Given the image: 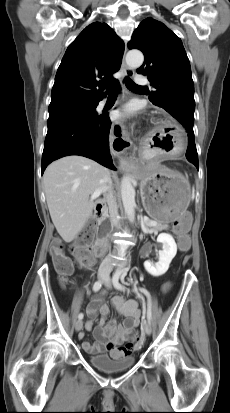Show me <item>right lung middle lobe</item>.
Instances as JSON below:
<instances>
[{
  "label": "right lung middle lobe",
  "instance_id": "1",
  "mask_svg": "<svg viewBox=\"0 0 230 413\" xmlns=\"http://www.w3.org/2000/svg\"><path fill=\"white\" fill-rule=\"evenodd\" d=\"M96 106L94 103L84 104H62L54 107H49V119L48 121L61 116H68L72 114H96Z\"/></svg>",
  "mask_w": 230,
  "mask_h": 413
}]
</instances>
